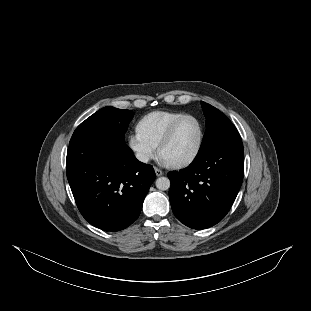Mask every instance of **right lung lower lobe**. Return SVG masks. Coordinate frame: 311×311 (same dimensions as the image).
Returning a JSON list of instances; mask_svg holds the SVG:
<instances>
[{
  "label": "right lung lower lobe",
  "mask_w": 311,
  "mask_h": 311,
  "mask_svg": "<svg viewBox=\"0 0 311 311\" xmlns=\"http://www.w3.org/2000/svg\"><path fill=\"white\" fill-rule=\"evenodd\" d=\"M66 173L82 216L111 232L138 218L156 177L153 167L138 161L124 140L102 133L70 141Z\"/></svg>",
  "instance_id": "1"
}]
</instances>
